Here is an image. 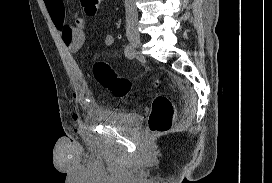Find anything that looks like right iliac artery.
I'll return each instance as SVG.
<instances>
[{
  "instance_id": "82829eb1",
  "label": "right iliac artery",
  "mask_w": 272,
  "mask_h": 183,
  "mask_svg": "<svg viewBox=\"0 0 272 183\" xmlns=\"http://www.w3.org/2000/svg\"><path fill=\"white\" fill-rule=\"evenodd\" d=\"M125 55L129 59H134L135 58V50L132 46L127 45L125 47Z\"/></svg>"
}]
</instances>
